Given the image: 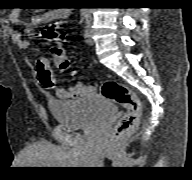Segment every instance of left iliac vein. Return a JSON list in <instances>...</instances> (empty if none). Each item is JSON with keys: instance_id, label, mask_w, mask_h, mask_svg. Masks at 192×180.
Instances as JSON below:
<instances>
[{"instance_id": "left-iliac-vein-1", "label": "left iliac vein", "mask_w": 192, "mask_h": 180, "mask_svg": "<svg viewBox=\"0 0 192 180\" xmlns=\"http://www.w3.org/2000/svg\"><path fill=\"white\" fill-rule=\"evenodd\" d=\"M84 37H85V40L88 44H93L94 41L92 39V33H91V29H90V24L88 23L87 26H86V30H85V33H84Z\"/></svg>"}]
</instances>
